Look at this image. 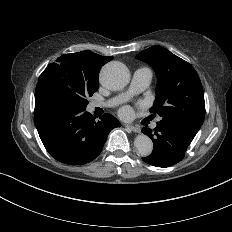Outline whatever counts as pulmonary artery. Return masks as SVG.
Masks as SVG:
<instances>
[{
	"instance_id": "e3ab8cb5",
	"label": "pulmonary artery",
	"mask_w": 232,
	"mask_h": 232,
	"mask_svg": "<svg viewBox=\"0 0 232 232\" xmlns=\"http://www.w3.org/2000/svg\"><path fill=\"white\" fill-rule=\"evenodd\" d=\"M154 80V72L150 68H143L138 70L134 74V81L131 86L128 87L123 93L114 96L112 98H107L102 100L101 102L95 101L93 106H100V107H113L116 105L117 100L120 103L125 104L128 100L132 99L133 96H137L140 94L141 90L145 87L146 84L152 83Z\"/></svg>"
}]
</instances>
